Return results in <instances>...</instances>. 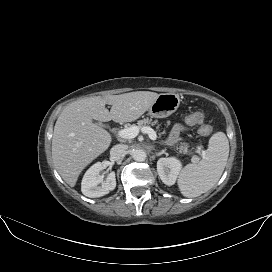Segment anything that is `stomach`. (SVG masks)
I'll return each mask as SVG.
<instances>
[{
  "mask_svg": "<svg viewBox=\"0 0 272 272\" xmlns=\"http://www.w3.org/2000/svg\"><path fill=\"white\" fill-rule=\"evenodd\" d=\"M180 105V98L175 93L159 94L149 108V115L155 118H165L174 113Z\"/></svg>",
  "mask_w": 272,
  "mask_h": 272,
  "instance_id": "obj_1",
  "label": "stomach"
}]
</instances>
